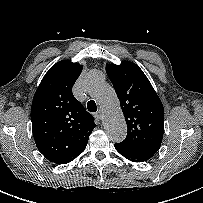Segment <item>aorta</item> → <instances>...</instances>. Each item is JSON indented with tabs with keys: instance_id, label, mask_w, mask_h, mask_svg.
Listing matches in <instances>:
<instances>
[{
	"instance_id": "obj_1",
	"label": "aorta",
	"mask_w": 203,
	"mask_h": 203,
	"mask_svg": "<svg viewBox=\"0 0 203 203\" xmlns=\"http://www.w3.org/2000/svg\"><path fill=\"white\" fill-rule=\"evenodd\" d=\"M85 87L101 108L108 138L114 143L122 142L127 135V124L114 89L97 76H90Z\"/></svg>"
}]
</instances>
